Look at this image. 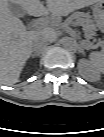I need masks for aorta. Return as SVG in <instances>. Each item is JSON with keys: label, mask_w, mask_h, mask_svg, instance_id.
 <instances>
[{"label": "aorta", "mask_w": 104, "mask_h": 137, "mask_svg": "<svg viewBox=\"0 0 104 137\" xmlns=\"http://www.w3.org/2000/svg\"><path fill=\"white\" fill-rule=\"evenodd\" d=\"M62 47L67 51H74L77 49V41L72 37H64L61 41Z\"/></svg>", "instance_id": "1"}]
</instances>
